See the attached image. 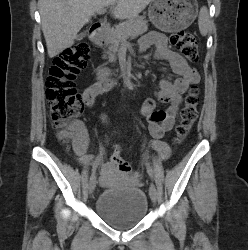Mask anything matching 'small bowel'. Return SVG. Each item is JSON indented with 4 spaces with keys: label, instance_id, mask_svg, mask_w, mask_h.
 Instances as JSON below:
<instances>
[{
    "label": "small bowel",
    "instance_id": "obj_1",
    "mask_svg": "<svg viewBox=\"0 0 248 250\" xmlns=\"http://www.w3.org/2000/svg\"><path fill=\"white\" fill-rule=\"evenodd\" d=\"M154 50V57L158 60L165 61L169 64L170 70L179 75L174 81L164 77L160 81L159 89L155 93V98L146 100L142 107L141 113L146 119L150 134L153 137L151 145L158 153V160L165 161L170 157L169 146L162 141V137L170 131L182 103V95L191 85L199 82L200 77L196 69L188 65L186 60L177 52L168 47L167 37L159 32H149L145 34L139 42L138 50L140 52L148 49ZM115 85V82L107 78V69L100 68L97 72L96 81L88 86L82 95L85 105L92 107L97 96L107 92ZM158 103L166 104L164 109L157 108ZM102 124L107 125V119L104 115L100 116ZM73 132V148L79 161L91 166L92 168L100 167V180L106 184L113 175L129 177L131 181L137 182L139 174L132 172L129 174L117 171L114 164L102 163V157L87 155L88 132L81 121H75L71 125ZM153 160L151 156L144 157V162Z\"/></svg>",
    "mask_w": 248,
    "mask_h": 250
}]
</instances>
